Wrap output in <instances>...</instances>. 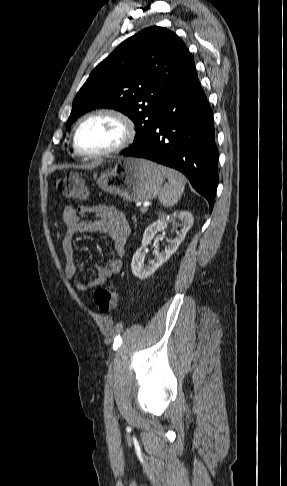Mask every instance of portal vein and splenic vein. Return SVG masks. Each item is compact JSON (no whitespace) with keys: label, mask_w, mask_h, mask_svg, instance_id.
Listing matches in <instances>:
<instances>
[{"label":"portal vein and splenic vein","mask_w":287,"mask_h":486,"mask_svg":"<svg viewBox=\"0 0 287 486\" xmlns=\"http://www.w3.org/2000/svg\"><path fill=\"white\" fill-rule=\"evenodd\" d=\"M147 210H148L147 205H144L143 207L140 208V211L143 213L147 212Z\"/></svg>","instance_id":"portal-vein-and-splenic-vein-1"}]
</instances>
